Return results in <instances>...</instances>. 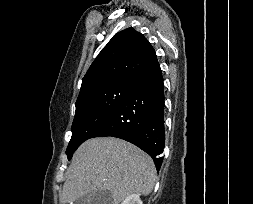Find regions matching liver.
Masks as SVG:
<instances>
[{"mask_svg":"<svg viewBox=\"0 0 253 204\" xmlns=\"http://www.w3.org/2000/svg\"><path fill=\"white\" fill-rule=\"evenodd\" d=\"M153 160L135 145L114 137L85 141L66 172L61 204H72L97 190H108L113 204L138 193L149 195L155 185Z\"/></svg>","mask_w":253,"mask_h":204,"instance_id":"6515ba94","label":"liver"}]
</instances>
